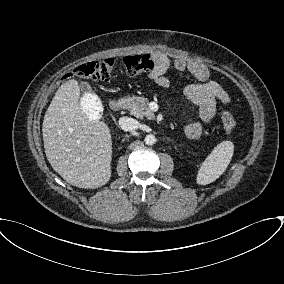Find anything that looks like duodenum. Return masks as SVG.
I'll use <instances>...</instances> for the list:
<instances>
[{"label":"duodenum","mask_w":284,"mask_h":284,"mask_svg":"<svg viewBox=\"0 0 284 284\" xmlns=\"http://www.w3.org/2000/svg\"><path fill=\"white\" fill-rule=\"evenodd\" d=\"M110 108L114 111H119L122 107V102L118 98H113L110 100Z\"/></svg>","instance_id":"410a0bca"}]
</instances>
